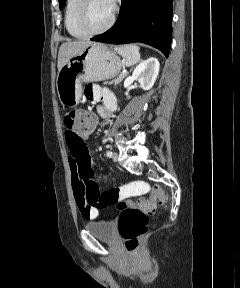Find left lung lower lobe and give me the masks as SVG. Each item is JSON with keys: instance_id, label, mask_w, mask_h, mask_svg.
I'll return each mask as SVG.
<instances>
[{"instance_id": "0a47b994", "label": "left lung lower lobe", "mask_w": 240, "mask_h": 288, "mask_svg": "<svg viewBox=\"0 0 240 288\" xmlns=\"http://www.w3.org/2000/svg\"><path fill=\"white\" fill-rule=\"evenodd\" d=\"M173 0H121L116 23L91 40L124 44L141 42L169 55L172 35Z\"/></svg>"}]
</instances>
